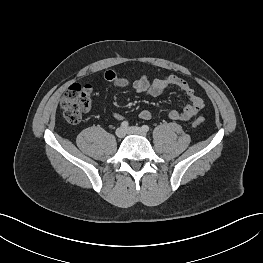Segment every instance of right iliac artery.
Masks as SVG:
<instances>
[{"label":"right iliac artery","instance_id":"obj_1","mask_svg":"<svg viewBox=\"0 0 263 263\" xmlns=\"http://www.w3.org/2000/svg\"><path fill=\"white\" fill-rule=\"evenodd\" d=\"M128 126H129V123H128L127 121H123V122L121 123V127H122L123 129H127Z\"/></svg>","mask_w":263,"mask_h":263}]
</instances>
